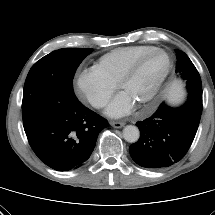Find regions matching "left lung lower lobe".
Wrapping results in <instances>:
<instances>
[{
  "instance_id": "1",
  "label": "left lung lower lobe",
  "mask_w": 215,
  "mask_h": 215,
  "mask_svg": "<svg viewBox=\"0 0 215 215\" xmlns=\"http://www.w3.org/2000/svg\"><path fill=\"white\" fill-rule=\"evenodd\" d=\"M201 113L202 100L193 96L177 108L162 102L152 116L137 122L140 138L129 147L132 159L149 169L180 161L194 140Z\"/></svg>"
}]
</instances>
